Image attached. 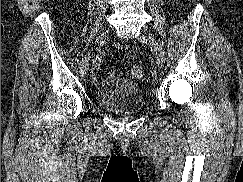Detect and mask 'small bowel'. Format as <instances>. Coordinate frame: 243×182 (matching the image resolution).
<instances>
[{"mask_svg":"<svg viewBox=\"0 0 243 182\" xmlns=\"http://www.w3.org/2000/svg\"><path fill=\"white\" fill-rule=\"evenodd\" d=\"M102 62H103L102 55H99L95 58L93 62V71L95 74L98 73V71L100 70ZM94 81L97 85L102 84V81L97 76L94 77ZM110 82L114 84L115 91L118 92H129L134 87L129 80L123 78L119 73L114 74L110 79Z\"/></svg>","mask_w":243,"mask_h":182,"instance_id":"c3829d8e","label":"small bowel"}]
</instances>
